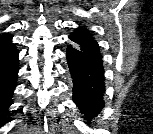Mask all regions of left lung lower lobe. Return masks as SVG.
Masks as SVG:
<instances>
[{
	"label": "left lung lower lobe",
	"instance_id": "left-lung-lower-lobe-1",
	"mask_svg": "<svg viewBox=\"0 0 153 134\" xmlns=\"http://www.w3.org/2000/svg\"><path fill=\"white\" fill-rule=\"evenodd\" d=\"M67 62L74 79L73 101L84 115L91 120L103 108L104 68L100 51L84 46L67 48Z\"/></svg>",
	"mask_w": 153,
	"mask_h": 134
}]
</instances>
